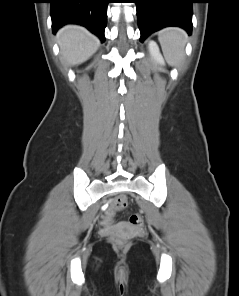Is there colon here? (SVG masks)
<instances>
[{
    "label": "colon",
    "instance_id": "5ec220e1",
    "mask_svg": "<svg viewBox=\"0 0 239 296\" xmlns=\"http://www.w3.org/2000/svg\"><path fill=\"white\" fill-rule=\"evenodd\" d=\"M126 205H127L126 196H117L111 202V208L114 211H121L126 207ZM129 223L134 227H140L143 225V219L139 214L134 213L129 216ZM112 239L117 244L124 243L123 239L120 236L115 235Z\"/></svg>",
    "mask_w": 239,
    "mask_h": 296
}]
</instances>
